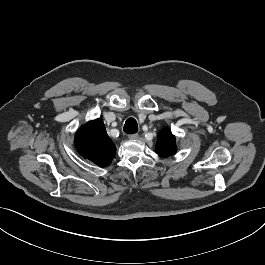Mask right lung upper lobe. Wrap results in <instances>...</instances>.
I'll list each match as a JSON object with an SVG mask.
<instances>
[{
	"mask_svg": "<svg viewBox=\"0 0 265 265\" xmlns=\"http://www.w3.org/2000/svg\"><path fill=\"white\" fill-rule=\"evenodd\" d=\"M74 143L81 156L100 167L109 165L116 154V147L107 135L101 119L90 121L80 127Z\"/></svg>",
	"mask_w": 265,
	"mask_h": 265,
	"instance_id": "cb5924a9",
	"label": "right lung upper lobe"
}]
</instances>
